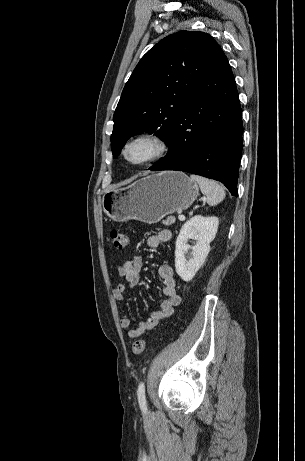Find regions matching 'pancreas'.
Wrapping results in <instances>:
<instances>
[{"label":"pancreas","instance_id":"pancreas-1","mask_svg":"<svg viewBox=\"0 0 305 461\" xmlns=\"http://www.w3.org/2000/svg\"><path fill=\"white\" fill-rule=\"evenodd\" d=\"M175 220H176V219H175L174 216H168V217L166 218V220H163V221H162V224H164V225H166V226H169V225L173 224V223L175 222Z\"/></svg>","mask_w":305,"mask_h":461}]
</instances>
